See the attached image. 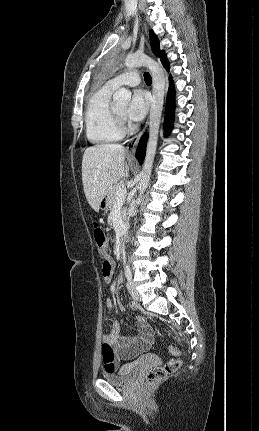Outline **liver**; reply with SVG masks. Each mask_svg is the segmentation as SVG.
I'll use <instances>...</instances> for the list:
<instances>
[{"label": "liver", "mask_w": 259, "mask_h": 431, "mask_svg": "<svg viewBox=\"0 0 259 431\" xmlns=\"http://www.w3.org/2000/svg\"><path fill=\"white\" fill-rule=\"evenodd\" d=\"M129 165L125 162V148L118 144L88 147L82 159V183L86 199L93 210L118 181L125 179Z\"/></svg>", "instance_id": "liver-1"}]
</instances>
